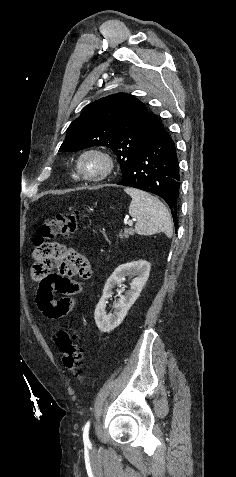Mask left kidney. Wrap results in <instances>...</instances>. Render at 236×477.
I'll list each match as a JSON object with an SVG mask.
<instances>
[{
    "mask_svg": "<svg viewBox=\"0 0 236 477\" xmlns=\"http://www.w3.org/2000/svg\"><path fill=\"white\" fill-rule=\"evenodd\" d=\"M150 273V263L145 260L134 261L118 266L112 275L108 278L103 289V295L96 306L94 318L97 327L101 332H110L118 327L128 310L139 297L144 285L146 284ZM127 275L135 276L131 283L130 290L124 295V288L119 292V299L114 304V312L106 314L105 308L107 299L112 297V289L115 285H121Z\"/></svg>",
    "mask_w": 236,
    "mask_h": 477,
    "instance_id": "1",
    "label": "left kidney"
}]
</instances>
